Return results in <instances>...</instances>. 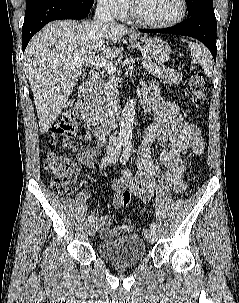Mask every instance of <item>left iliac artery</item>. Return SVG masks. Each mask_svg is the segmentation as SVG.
<instances>
[{
    "label": "left iliac artery",
    "mask_w": 239,
    "mask_h": 303,
    "mask_svg": "<svg viewBox=\"0 0 239 303\" xmlns=\"http://www.w3.org/2000/svg\"><path fill=\"white\" fill-rule=\"evenodd\" d=\"M131 142H126L125 143V147H124V150H123V154H122V157H121V162L125 165L127 163V161L129 160V157H130V153H131ZM150 227L153 228V229H156V223L155 222H152L150 224Z\"/></svg>",
    "instance_id": "obj_1"
}]
</instances>
